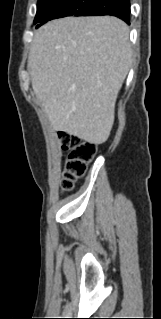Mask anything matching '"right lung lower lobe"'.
I'll return each mask as SVG.
<instances>
[{
  "label": "right lung lower lobe",
  "instance_id": "obj_1",
  "mask_svg": "<svg viewBox=\"0 0 161 319\" xmlns=\"http://www.w3.org/2000/svg\"><path fill=\"white\" fill-rule=\"evenodd\" d=\"M111 15L130 24V0H94L80 16Z\"/></svg>",
  "mask_w": 161,
  "mask_h": 319
}]
</instances>
